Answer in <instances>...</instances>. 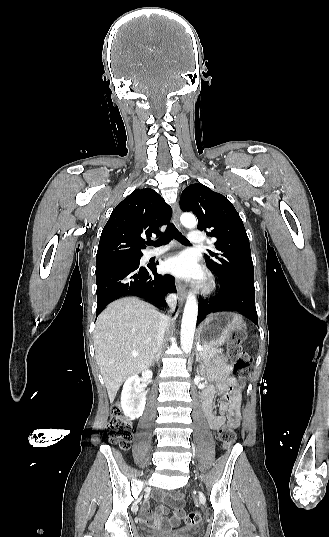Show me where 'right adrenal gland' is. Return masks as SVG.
I'll list each match as a JSON object with an SVG mask.
<instances>
[{
  "mask_svg": "<svg viewBox=\"0 0 329 537\" xmlns=\"http://www.w3.org/2000/svg\"><path fill=\"white\" fill-rule=\"evenodd\" d=\"M160 355H161V350L159 349L158 352H157V354L155 355V357H154V359H153L151 365H154L155 362H157V363L159 362Z\"/></svg>",
  "mask_w": 329,
  "mask_h": 537,
  "instance_id": "2a0ac1e0",
  "label": "right adrenal gland"
}]
</instances>
